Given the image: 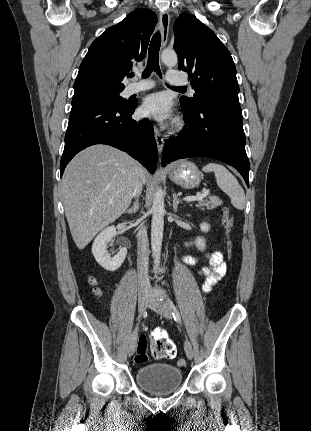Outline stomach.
<instances>
[{
  "mask_svg": "<svg viewBox=\"0 0 311 431\" xmlns=\"http://www.w3.org/2000/svg\"><path fill=\"white\" fill-rule=\"evenodd\" d=\"M171 182L185 188V190H193L197 188L202 180V174L199 172L197 166L192 162L181 160L171 172L168 174Z\"/></svg>",
  "mask_w": 311,
  "mask_h": 431,
  "instance_id": "stomach-1",
  "label": "stomach"
}]
</instances>
